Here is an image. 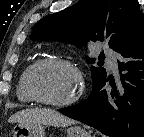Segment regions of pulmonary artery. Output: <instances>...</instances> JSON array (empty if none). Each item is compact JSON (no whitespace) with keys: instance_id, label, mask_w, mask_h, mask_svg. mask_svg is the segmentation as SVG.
Returning <instances> with one entry per match:
<instances>
[{"instance_id":"e3ab8cb5","label":"pulmonary artery","mask_w":144,"mask_h":137,"mask_svg":"<svg viewBox=\"0 0 144 137\" xmlns=\"http://www.w3.org/2000/svg\"><path fill=\"white\" fill-rule=\"evenodd\" d=\"M105 55H106L108 62L111 65L112 70L114 72H117L118 71V62H117L118 55L111 50H106Z\"/></svg>"}]
</instances>
